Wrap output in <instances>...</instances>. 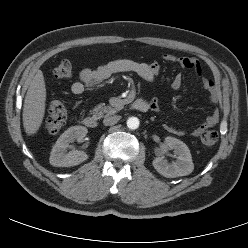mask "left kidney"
<instances>
[{
    "instance_id": "1",
    "label": "left kidney",
    "mask_w": 248,
    "mask_h": 248,
    "mask_svg": "<svg viewBox=\"0 0 248 248\" xmlns=\"http://www.w3.org/2000/svg\"><path fill=\"white\" fill-rule=\"evenodd\" d=\"M165 143L170 149H174V156L177 160L168 163V161L162 157L155 158L152 164L157 172L169 178L186 176L192 173L194 164L187 145L174 137H166Z\"/></svg>"
}]
</instances>
